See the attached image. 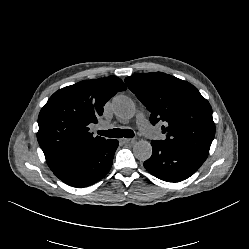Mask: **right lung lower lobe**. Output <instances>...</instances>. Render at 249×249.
<instances>
[{"label":"right lung lower lobe","mask_w":249,"mask_h":249,"mask_svg":"<svg viewBox=\"0 0 249 249\" xmlns=\"http://www.w3.org/2000/svg\"><path fill=\"white\" fill-rule=\"evenodd\" d=\"M117 147V140L108 139L93 151L53 170V173L70 186L87 187L92 185L109 172Z\"/></svg>","instance_id":"right-lung-lower-lobe-1"}]
</instances>
